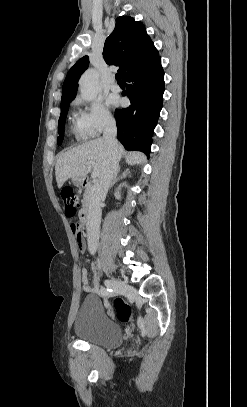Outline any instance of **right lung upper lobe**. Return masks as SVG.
Listing matches in <instances>:
<instances>
[{
  "instance_id": "right-lung-upper-lobe-1",
  "label": "right lung upper lobe",
  "mask_w": 247,
  "mask_h": 407,
  "mask_svg": "<svg viewBox=\"0 0 247 407\" xmlns=\"http://www.w3.org/2000/svg\"><path fill=\"white\" fill-rule=\"evenodd\" d=\"M103 56L108 64L118 65L122 78L134 68L159 56L146 33L145 26L129 16L116 19L113 32L106 39ZM89 64L88 56L79 59L69 70L63 84L61 104L76 96L78 80Z\"/></svg>"
}]
</instances>
